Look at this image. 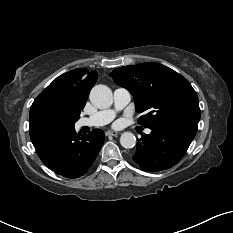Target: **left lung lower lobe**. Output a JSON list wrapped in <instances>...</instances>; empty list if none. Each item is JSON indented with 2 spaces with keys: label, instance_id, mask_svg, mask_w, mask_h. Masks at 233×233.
Segmentation results:
<instances>
[{
  "label": "left lung lower lobe",
  "instance_id": "0a47b994",
  "mask_svg": "<svg viewBox=\"0 0 233 233\" xmlns=\"http://www.w3.org/2000/svg\"><path fill=\"white\" fill-rule=\"evenodd\" d=\"M137 142L133 160L142 170L156 172L177 164L186 153L197 129L188 126L166 125L151 129Z\"/></svg>",
  "mask_w": 233,
  "mask_h": 233
}]
</instances>
